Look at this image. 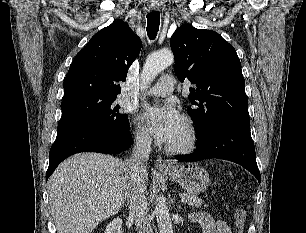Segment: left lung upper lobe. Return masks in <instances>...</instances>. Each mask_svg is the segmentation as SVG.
I'll list each match as a JSON object with an SVG mask.
<instances>
[{
  "label": "left lung upper lobe",
  "instance_id": "left-lung-upper-lobe-1",
  "mask_svg": "<svg viewBox=\"0 0 306 233\" xmlns=\"http://www.w3.org/2000/svg\"><path fill=\"white\" fill-rule=\"evenodd\" d=\"M175 56L174 71L181 82L189 79L198 137L227 124H250L245 80L238 55L216 32L196 29L190 24L178 28L170 39Z\"/></svg>",
  "mask_w": 306,
  "mask_h": 233
}]
</instances>
